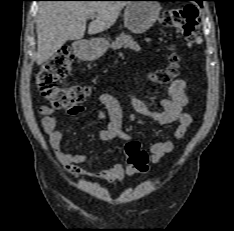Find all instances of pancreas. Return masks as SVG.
I'll return each mask as SVG.
<instances>
[{"instance_id": "cf45deb5", "label": "pancreas", "mask_w": 234, "mask_h": 231, "mask_svg": "<svg viewBox=\"0 0 234 231\" xmlns=\"http://www.w3.org/2000/svg\"><path fill=\"white\" fill-rule=\"evenodd\" d=\"M122 47L130 48L135 51L140 50V46L137 44V42H135L130 35H126L125 33H121L120 36H118L111 44L112 49H120Z\"/></svg>"}]
</instances>
